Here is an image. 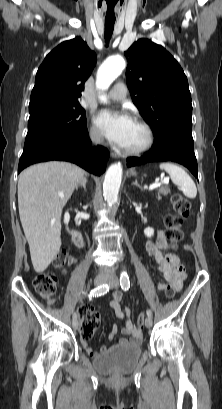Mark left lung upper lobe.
Masks as SVG:
<instances>
[{
  "label": "left lung upper lobe",
  "instance_id": "obj_1",
  "mask_svg": "<svg viewBox=\"0 0 222 409\" xmlns=\"http://www.w3.org/2000/svg\"><path fill=\"white\" fill-rule=\"evenodd\" d=\"M125 56L133 103L152 127L154 136L168 129L192 131L188 81L174 57L147 39L135 42Z\"/></svg>",
  "mask_w": 222,
  "mask_h": 409
}]
</instances>
